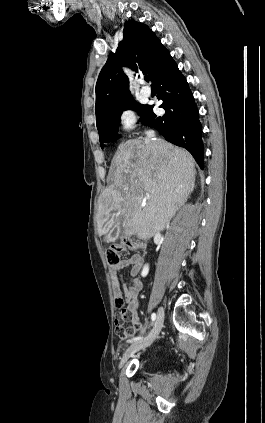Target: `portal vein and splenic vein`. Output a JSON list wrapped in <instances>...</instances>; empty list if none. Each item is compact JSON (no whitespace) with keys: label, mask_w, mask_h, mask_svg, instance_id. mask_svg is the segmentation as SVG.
Masks as SVG:
<instances>
[{"label":"portal vein and splenic vein","mask_w":265,"mask_h":423,"mask_svg":"<svg viewBox=\"0 0 265 423\" xmlns=\"http://www.w3.org/2000/svg\"><path fill=\"white\" fill-rule=\"evenodd\" d=\"M145 198L148 199L149 198V194L146 193Z\"/></svg>","instance_id":"obj_1"}]
</instances>
